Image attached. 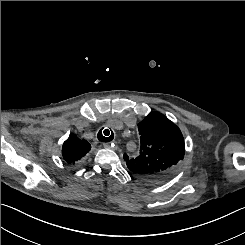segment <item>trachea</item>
Segmentation results:
<instances>
[{"label":"trachea","instance_id":"trachea-1","mask_svg":"<svg viewBox=\"0 0 245 245\" xmlns=\"http://www.w3.org/2000/svg\"><path fill=\"white\" fill-rule=\"evenodd\" d=\"M97 137L101 142H110L113 140L114 134L112 130L103 129L98 132Z\"/></svg>","mask_w":245,"mask_h":245}]
</instances>
